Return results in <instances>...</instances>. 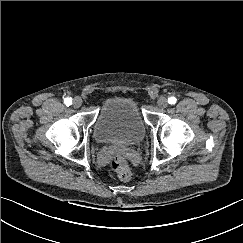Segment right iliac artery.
<instances>
[{"label":"right iliac artery","mask_w":243,"mask_h":243,"mask_svg":"<svg viewBox=\"0 0 243 243\" xmlns=\"http://www.w3.org/2000/svg\"><path fill=\"white\" fill-rule=\"evenodd\" d=\"M64 103L66 106H70L72 104V99L71 98H65Z\"/></svg>","instance_id":"1"}]
</instances>
